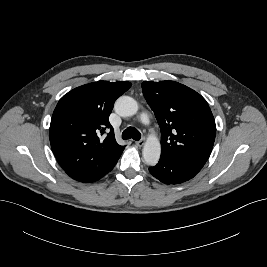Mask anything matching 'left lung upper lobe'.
Wrapping results in <instances>:
<instances>
[{
  "instance_id": "5c2ea615",
  "label": "left lung upper lobe",
  "mask_w": 267,
  "mask_h": 267,
  "mask_svg": "<svg viewBox=\"0 0 267 267\" xmlns=\"http://www.w3.org/2000/svg\"><path fill=\"white\" fill-rule=\"evenodd\" d=\"M143 95L161 130V156L205 164L213 148L216 125L206 100L174 81L143 82Z\"/></svg>"
}]
</instances>
